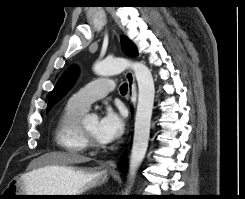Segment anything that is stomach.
<instances>
[{
  "mask_svg": "<svg viewBox=\"0 0 245 199\" xmlns=\"http://www.w3.org/2000/svg\"><path fill=\"white\" fill-rule=\"evenodd\" d=\"M107 177L108 174L101 170H85L74 166H47L11 181L6 190L10 196L18 199L27 197L15 195H82L81 193L105 181Z\"/></svg>",
  "mask_w": 245,
  "mask_h": 199,
  "instance_id": "0dacf381",
  "label": "stomach"
}]
</instances>
